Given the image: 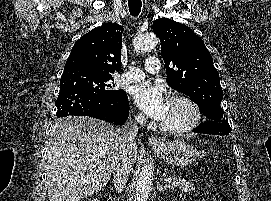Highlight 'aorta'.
Wrapping results in <instances>:
<instances>
[{
  "label": "aorta",
  "instance_id": "1",
  "mask_svg": "<svg viewBox=\"0 0 271 201\" xmlns=\"http://www.w3.org/2000/svg\"><path fill=\"white\" fill-rule=\"evenodd\" d=\"M158 44V38L155 34L147 33L138 35L134 41V50L137 53H144L154 49ZM152 186V171L150 167L144 165L141 169L137 183L136 195L134 201H147Z\"/></svg>",
  "mask_w": 271,
  "mask_h": 201
}]
</instances>
